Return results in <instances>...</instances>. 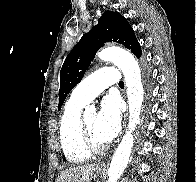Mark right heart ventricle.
Instances as JSON below:
<instances>
[{"instance_id": "e07e8e85", "label": "right heart ventricle", "mask_w": 196, "mask_h": 182, "mask_svg": "<svg viewBox=\"0 0 196 182\" xmlns=\"http://www.w3.org/2000/svg\"><path fill=\"white\" fill-rule=\"evenodd\" d=\"M86 103L71 97L61 115L58 135L65 158L73 164H80L90 157L80 140L79 122L81 110Z\"/></svg>"}]
</instances>
